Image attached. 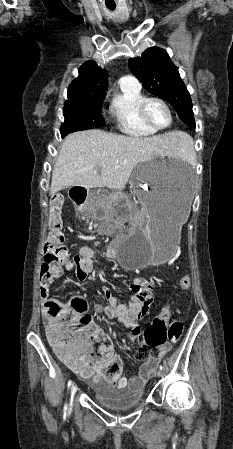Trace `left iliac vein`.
<instances>
[{
	"label": "left iliac vein",
	"instance_id": "left-iliac-vein-1",
	"mask_svg": "<svg viewBox=\"0 0 233 449\" xmlns=\"http://www.w3.org/2000/svg\"><path fill=\"white\" fill-rule=\"evenodd\" d=\"M162 374H163V373H162V370L159 369V370L157 371V376H158V377H161Z\"/></svg>",
	"mask_w": 233,
	"mask_h": 449
}]
</instances>
